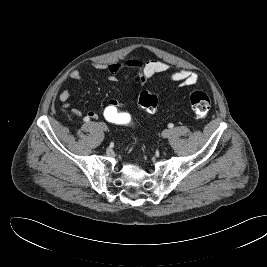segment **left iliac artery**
<instances>
[{"label":"left iliac artery","mask_w":267,"mask_h":267,"mask_svg":"<svg viewBox=\"0 0 267 267\" xmlns=\"http://www.w3.org/2000/svg\"><path fill=\"white\" fill-rule=\"evenodd\" d=\"M173 126H174V125H173L172 123H170V124L168 125L169 128H173Z\"/></svg>","instance_id":"obj_1"}]
</instances>
